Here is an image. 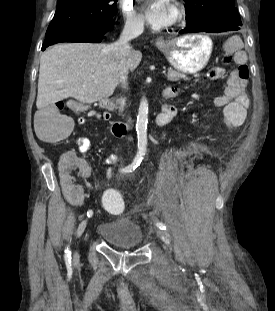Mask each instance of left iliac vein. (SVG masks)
<instances>
[{"mask_svg": "<svg viewBox=\"0 0 275 311\" xmlns=\"http://www.w3.org/2000/svg\"><path fill=\"white\" fill-rule=\"evenodd\" d=\"M157 235L161 238V240L166 244L169 245L170 244V235L162 230V229H158L157 230Z\"/></svg>", "mask_w": 275, "mask_h": 311, "instance_id": "1", "label": "left iliac vein"}]
</instances>
